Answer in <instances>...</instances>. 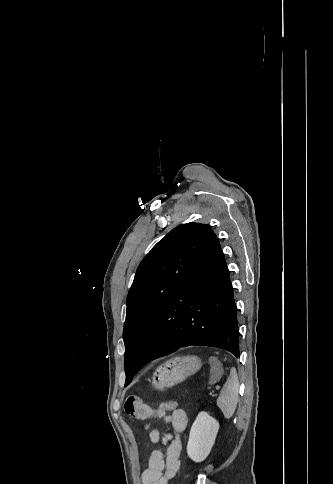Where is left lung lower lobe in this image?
I'll return each instance as SVG.
<instances>
[{"mask_svg":"<svg viewBox=\"0 0 333 484\" xmlns=\"http://www.w3.org/2000/svg\"><path fill=\"white\" fill-rule=\"evenodd\" d=\"M161 305L138 354V364L191 346H212L239 357L237 308L219 241L210 229ZM126 384L125 386H127Z\"/></svg>","mask_w":333,"mask_h":484,"instance_id":"left-lung-lower-lobe-1","label":"left lung lower lobe"}]
</instances>
